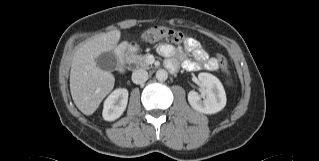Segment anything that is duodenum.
Here are the masks:
<instances>
[{
  "mask_svg": "<svg viewBox=\"0 0 319 161\" xmlns=\"http://www.w3.org/2000/svg\"><path fill=\"white\" fill-rule=\"evenodd\" d=\"M133 48L132 43L125 44L121 47H119L116 51L115 58L118 63V68L120 72H124L126 68L127 63V54L130 52Z\"/></svg>",
  "mask_w": 319,
  "mask_h": 161,
  "instance_id": "1",
  "label": "duodenum"
}]
</instances>
